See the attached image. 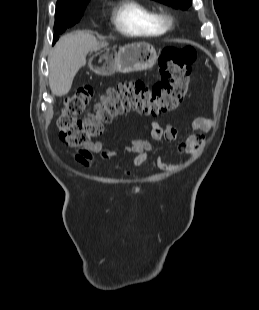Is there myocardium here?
<instances>
[{"mask_svg": "<svg viewBox=\"0 0 259 310\" xmlns=\"http://www.w3.org/2000/svg\"><path fill=\"white\" fill-rule=\"evenodd\" d=\"M157 19L159 23L165 28V29H170L174 25V19L173 17L165 12L157 14Z\"/></svg>", "mask_w": 259, "mask_h": 310, "instance_id": "1", "label": "myocardium"}]
</instances>
